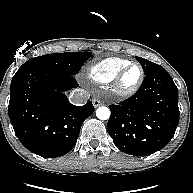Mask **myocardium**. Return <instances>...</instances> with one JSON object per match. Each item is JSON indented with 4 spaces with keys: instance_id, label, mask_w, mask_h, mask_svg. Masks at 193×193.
Masks as SVG:
<instances>
[{
    "instance_id": "f54148a6",
    "label": "myocardium",
    "mask_w": 193,
    "mask_h": 193,
    "mask_svg": "<svg viewBox=\"0 0 193 193\" xmlns=\"http://www.w3.org/2000/svg\"><path fill=\"white\" fill-rule=\"evenodd\" d=\"M134 66L140 69V77L133 86L126 88L122 85V79L124 75L126 74V72L131 67H134ZM144 79H145V71L143 67L141 66V64L137 62H130L129 64L124 66L122 69H120L118 73L115 75L114 79L112 80V91L118 97H122V98L129 97L139 90Z\"/></svg>"
}]
</instances>
